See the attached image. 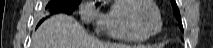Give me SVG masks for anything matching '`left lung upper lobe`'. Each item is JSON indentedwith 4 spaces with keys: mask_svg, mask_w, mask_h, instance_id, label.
<instances>
[{
    "mask_svg": "<svg viewBox=\"0 0 213 48\" xmlns=\"http://www.w3.org/2000/svg\"><path fill=\"white\" fill-rule=\"evenodd\" d=\"M170 1L172 3L173 8H174L176 19L179 21V27L183 30L180 12H179V9L177 7L176 1L175 0H170Z\"/></svg>",
    "mask_w": 213,
    "mask_h": 48,
    "instance_id": "5c2ea615",
    "label": "left lung upper lobe"
}]
</instances>
